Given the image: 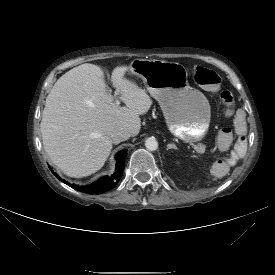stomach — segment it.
<instances>
[{"mask_svg": "<svg viewBox=\"0 0 275 275\" xmlns=\"http://www.w3.org/2000/svg\"><path fill=\"white\" fill-rule=\"evenodd\" d=\"M155 98L169 131L184 142L202 140L209 128L211 108L206 96L192 88L186 68L177 62L136 59L129 65Z\"/></svg>", "mask_w": 275, "mask_h": 275, "instance_id": "obj_1", "label": "stomach"}]
</instances>
